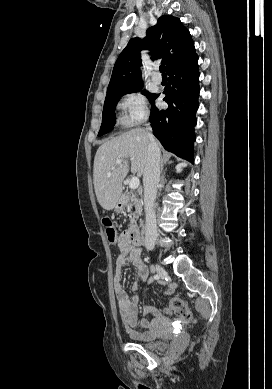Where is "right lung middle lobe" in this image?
<instances>
[{"label":"right lung middle lobe","mask_w":272,"mask_h":389,"mask_svg":"<svg viewBox=\"0 0 272 389\" xmlns=\"http://www.w3.org/2000/svg\"><path fill=\"white\" fill-rule=\"evenodd\" d=\"M142 88H143V84H139L106 95L103 114H102V125L98 133V136H102L103 134L109 132L113 128L116 121L114 111L119 98L128 93L139 92L140 90H142ZM142 93L149 98L150 102H153V100L156 97V94H151L146 91H142Z\"/></svg>","instance_id":"1"}]
</instances>
